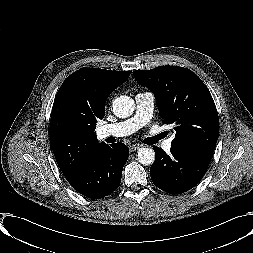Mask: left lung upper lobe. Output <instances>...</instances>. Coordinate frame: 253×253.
<instances>
[{"label": "left lung upper lobe", "instance_id": "obj_1", "mask_svg": "<svg viewBox=\"0 0 253 253\" xmlns=\"http://www.w3.org/2000/svg\"><path fill=\"white\" fill-rule=\"evenodd\" d=\"M133 75L155 94L163 123L173 125L172 145L215 149L218 113L208 88L195 73L186 68L162 66L136 70Z\"/></svg>", "mask_w": 253, "mask_h": 253}]
</instances>
